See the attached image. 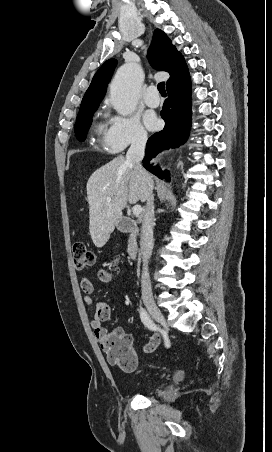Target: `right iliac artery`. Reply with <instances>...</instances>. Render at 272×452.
Listing matches in <instances>:
<instances>
[{
  "label": "right iliac artery",
  "mask_w": 272,
  "mask_h": 452,
  "mask_svg": "<svg viewBox=\"0 0 272 452\" xmlns=\"http://www.w3.org/2000/svg\"><path fill=\"white\" fill-rule=\"evenodd\" d=\"M140 317H141V321L143 322V324L150 330L152 331H156L157 325L154 323V321L151 319V317L149 316V314L147 313V311L145 309H141L140 312Z\"/></svg>",
  "instance_id": "obj_1"
}]
</instances>
